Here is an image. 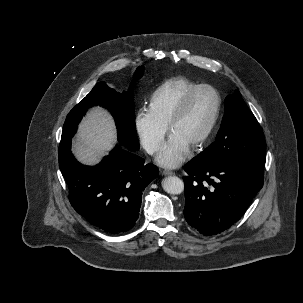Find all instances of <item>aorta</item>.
I'll return each instance as SVG.
<instances>
[{
    "instance_id": "obj_1",
    "label": "aorta",
    "mask_w": 303,
    "mask_h": 303,
    "mask_svg": "<svg viewBox=\"0 0 303 303\" xmlns=\"http://www.w3.org/2000/svg\"><path fill=\"white\" fill-rule=\"evenodd\" d=\"M162 187L167 193L177 195L184 191V182L177 176H169L163 179Z\"/></svg>"
}]
</instances>
